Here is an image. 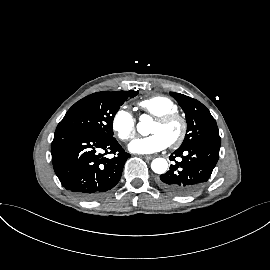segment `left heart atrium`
Here are the masks:
<instances>
[{"label": "left heart atrium", "instance_id": "1", "mask_svg": "<svg viewBox=\"0 0 270 270\" xmlns=\"http://www.w3.org/2000/svg\"><path fill=\"white\" fill-rule=\"evenodd\" d=\"M169 142L160 134H152L148 137L135 138L128 149L137 154H152L166 149Z\"/></svg>", "mask_w": 270, "mask_h": 270}]
</instances>
